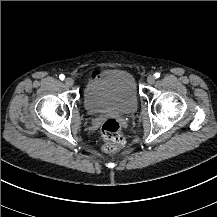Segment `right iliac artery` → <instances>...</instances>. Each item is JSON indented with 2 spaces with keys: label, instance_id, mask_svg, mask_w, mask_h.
Returning a JSON list of instances; mask_svg holds the SVG:
<instances>
[{
  "label": "right iliac artery",
  "instance_id": "right-iliac-artery-1",
  "mask_svg": "<svg viewBox=\"0 0 217 217\" xmlns=\"http://www.w3.org/2000/svg\"><path fill=\"white\" fill-rule=\"evenodd\" d=\"M59 78H60L61 80H64V79H65V76H64L63 74H61V75L59 76Z\"/></svg>",
  "mask_w": 217,
  "mask_h": 217
}]
</instances>
